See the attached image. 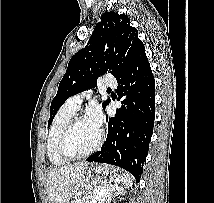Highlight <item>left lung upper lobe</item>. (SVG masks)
<instances>
[{
    "label": "left lung upper lobe",
    "instance_id": "1",
    "mask_svg": "<svg viewBox=\"0 0 214 203\" xmlns=\"http://www.w3.org/2000/svg\"><path fill=\"white\" fill-rule=\"evenodd\" d=\"M143 49L145 48L138 38V31L130 26L127 15L118 12L103 14L87 45L69 61L51 103L48 126L69 97L92 88L97 78L104 73L109 72L116 79L119 78ZM109 102V99L103 102V109Z\"/></svg>",
    "mask_w": 214,
    "mask_h": 203
}]
</instances>
